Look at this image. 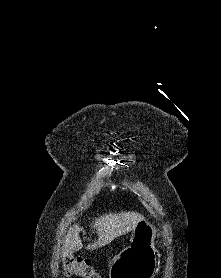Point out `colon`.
I'll list each match as a JSON object with an SVG mask.
<instances>
[{"mask_svg":"<svg viewBox=\"0 0 221 278\" xmlns=\"http://www.w3.org/2000/svg\"><path fill=\"white\" fill-rule=\"evenodd\" d=\"M63 269L66 275L76 278H101L94 269L91 261L82 257H67L63 260Z\"/></svg>","mask_w":221,"mask_h":278,"instance_id":"1","label":"colon"}]
</instances>
